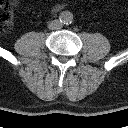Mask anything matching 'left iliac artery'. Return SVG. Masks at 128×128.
I'll return each mask as SVG.
<instances>
[{
  "instance_id": "1",
  "label": "left iliac artery",
  "mask_w": 128,
  "mask_h": 128,
  "mask_svg": "<svg viewBox=\"0 0 128 128\" xmlns=\"http://www.w3.org/2000/svg\"><path fill=\"white\" fill-rule=\"evenodd\" d=\"M68 22H71V17H69Z\"/></svg>"
}]
</instances>
